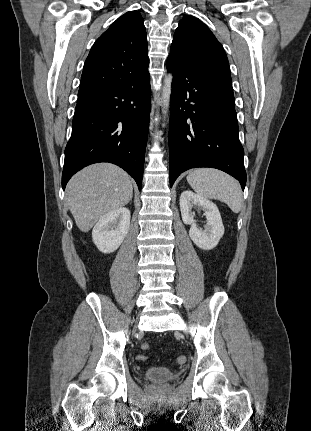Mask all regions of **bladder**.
Masks as SVG:
<instances>
[{
    "mask_svg": "<svg viewBox=\"0 0 311 431\" xmlns=\"http://www.w3.org/2000/svg\"><path fill=\"white\" fill-rule=\"evenodd\" d=\"M143 376L147 381L164 383L174 380L176 374L166 367L153 366L148 368Z\"/></svg>",
    "mask_w": 311,
    "mask_h": 431,
    "instance_id": "31cf9c89",
    "label": "bladder"
}]
</instances>
